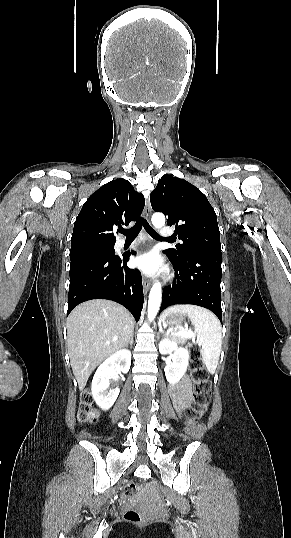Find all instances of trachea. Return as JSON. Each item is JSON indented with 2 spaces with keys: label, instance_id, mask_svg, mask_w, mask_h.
Segmentation results:
<instances>
[{
  "label": "trachea",
  "instance_id": "3493384b",
  "mask_svg": "<svg viewBox=\"0 0 291 538\" xmlns=\"http://www.w3.org/2000/svg\"><path fill=\"white\" fill-rule=\"evenodd\" d=\"M142 226H144V229L149 233L151 237H153L156 240H168L171 241L172 239L168 238H162L147 222L146 219L140 218L136 224L127 230L121 231L126 236V239H135L137 235L139 234L140 230L142 229Z\"/></svg>",
  "mask_w": 291,
  "mask_h": 538
}]
</instances>
